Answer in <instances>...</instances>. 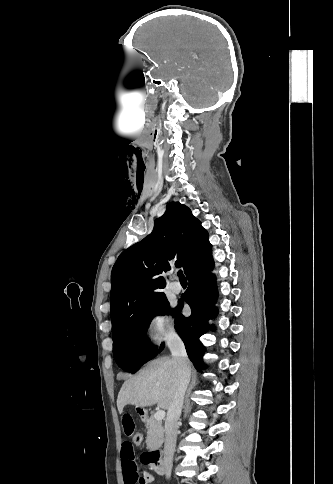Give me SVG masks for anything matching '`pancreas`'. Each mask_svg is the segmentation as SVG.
Returning <instances> with one entry per match:
<instances>
[{"mask_svg":"<svg viewBox=\"0 0 333 484\" xmlns=\"http://www.w3.org/2000/svg\"><path fill=\"white\" fill-rule=\"evenodd\" d=\"M145 426L147 429V449L154 451L160 448L164 441V429L161 421H157L154 416H150L145 419Z\"/></svg>","mask_w":333,"mask_h":484,"instance_id":"1","label":"pancreas"}]
</instances>
